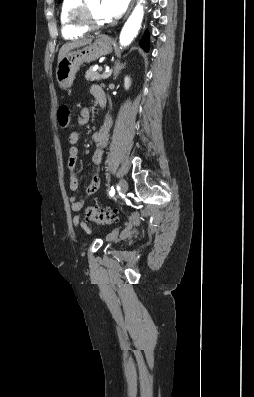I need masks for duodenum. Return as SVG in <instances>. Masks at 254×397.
<instances>
[{
  "label": "duodenum",
  "instance_id": "obj_1",
  "mask_svg": "<svg viewBox=\"0 0 254 397\" xmlns=\"http://www.w3.org/2000/svg\"><path fill=\"white\" fill-rule=\"evenodd\" d=\"M101 105H104L105 104V98H102L101 100H100V102H99Z\"/></svg>",
  "mask_w": 254,
  "mask_h": 397
}]
</instances>
